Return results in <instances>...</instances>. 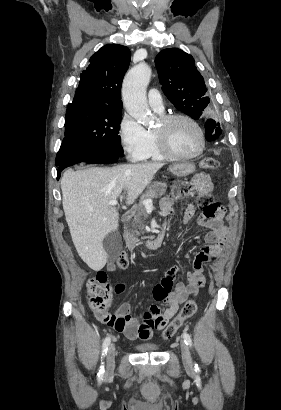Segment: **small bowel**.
I'll return each mask as SVG.
<instances>
[{
    "mask_svg": "<svg viewBox=\"0 0 281 410\" xmlns=\"http://www.w3.org/2000/svg\"><path fill=\"white\" fill-rule=\"evenodd\" d=\"M193 184L196 192L199 195L211 194L212 182L208 175L198 173L193 178ZM179 196L172 194L163 197L160 202L161 212L169 216L173 211V203L179 200ZM195 216V207L189 204L184 213L186 221H191ZM198 223L201 226L208 228L210 231L206 235L208 243L194 258L192 270L187 273L185 282L174 284L176 275L180 272V268L173 266L167 270L160 283L156 284L152 289V297L156 302H165L167 307L161 312L158 304L150 306L145 313L143 320L139 322L130 315V304L123 303L119 306L116 317L125 320V326L117 331L121 332L129 340H149L154 330H161L167 322L177 313L179 306L192 295H196L199 289L205 284L204 265L213 257L221 254L224 242L227 236V229L223 224L222 216L208 217L202 215L198 218ZM109 271L115 270L114 264L108 265ZM125 291L123 284L116 285V294H122Z\"/></svg>",
    "mask_w": 281,
    "mask_h": 410,
    "instance_id": "obj_1",
    "label": "small bowel"
}]
</instances>
